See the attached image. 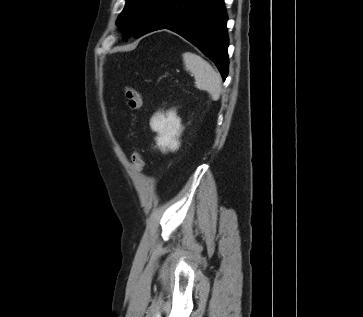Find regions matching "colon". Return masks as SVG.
<instances>
[{
  "label": "colon",
  "mask_w": 363,
  "mask_h": 317,
  "mask_svg": "<svg viewBox=\"0 0 363 317\" xmlns=\"http://www.w3.org/2000/svg\"><path fill=\"white\" fill-rule=\"evenodd\" d=\"M125 97L127 101V105L131 110H138L142 105V95L141 93L132 86L125 87ZM131 162L133 167L140 171L144 166V159L142 154L139 151H135L132 154Z\"/></svg>",
  "instance_id": "colon-1"
}]
</instances>
